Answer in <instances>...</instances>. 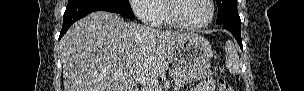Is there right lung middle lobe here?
Listing matches in <instances>:
<instances>
[{"mask_svg": "<svg viewBox=\"0 0 304 91\" xmlns=\"http://www.w3.org/2000/svg\"><path fill=\"white\" fill-rule=\"evenodd\" d=\"M115 8L120 12L121 16L125 18H134V13L130 7L128 0H111Z\"/></svg>", "mask_w": 304, "mask_h": 91, "instance_id": "right-lung-middle-lobe-1", "label": "right lung middle lobe"}]
</instances>
